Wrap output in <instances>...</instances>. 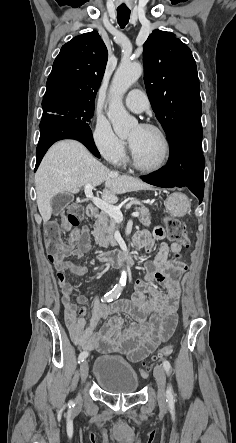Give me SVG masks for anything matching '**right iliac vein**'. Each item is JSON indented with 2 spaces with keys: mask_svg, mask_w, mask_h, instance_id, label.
<instances>
[{
  "mask_svg": "<svg viewBox=\"0 0 236 443\" xmlns=\"http://www.w3.org/2000/svg\"><path fill=\"white\" fill-rule=\"evenodd\" d=\"M89 367L87 361H83L80 365V378L82 383H84L88 377Z\"/></svg>",
  "mask_w": 236,
  "mask_h": 443,
  "instance_id": "right-iliac-vein-1",
  "label": "right iliac vein"
}]
</instances>
